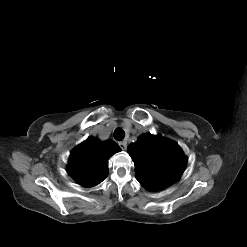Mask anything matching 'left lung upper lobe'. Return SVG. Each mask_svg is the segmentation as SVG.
I'll use <instances>...</instances> for the list:
<instances>
[{"instance_id":"obj_1","label":"left lung upper lobe","mask_w":247,"mask_h":247,"mask_svg":"<svg viewBox=\"0 0 247 247\" xmlns=\"http://www.w3.org/2000/svg\"><path fill=\"white\" fill-rule=\"evenodd\" d=\"M136 179L149 191H159L177 182L187 158L180 146L160 135L143 134L128 146Z\"/></svg>"}]
</instances>
